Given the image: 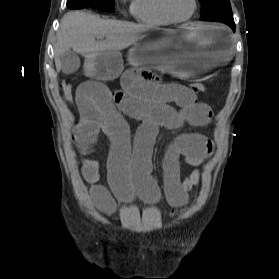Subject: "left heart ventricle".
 Segmentation results:
<instances>
[{"mask_svg": "<svg viewBox=\"0 0 279 279\" xmlns=\"http://www.w3.org/2000/svg\"><path fill=\"white\" fill-rule=\"evenodd\" d=\"M168 10L178 18L187 17L193 9V0H167Z\"/></svg>", "mask_w": 279, "mask_h": 279, "instance_id": "left-heart-ventricle-1", "label": "left heart ventricle"}]
</instances>
